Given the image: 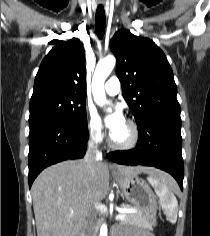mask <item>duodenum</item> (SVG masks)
Listing matches in <instances>:
<instances>
[{
	"label": "duodenum",
	"instance_id": "duodenum-1",
	"mask_svg": "<svg viewBox=\"0 0 210 236\" xmlns=\"http://www.w3.org/2000/svg\"><path fill=\"white\" fill-rule=\"evenodd\" d=\"M76 236H84L83 231L81 230L80 232H78V234Z\"/></svg>",
	"mask_w": 210,
	"mask_h": 236
}]
</instances>
